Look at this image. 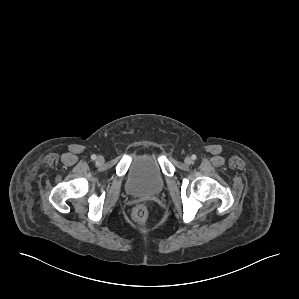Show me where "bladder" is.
<instances>
[{"label": "bladder", "instance_id": "obj_1", "mask_svg": "<svg viewBox=\"0 0 299 299\" xmlns=\"http://www.w3.org/2000/svg\"><path fill=\"white\" fill-rule=\"evenodd\" d=\"M165 187V176L158 158L151 153L136 156L126 174L125 190L131 196H154Z\"/></svg>", "mask_w": 299, "mask_h": 299}]
</instances>
